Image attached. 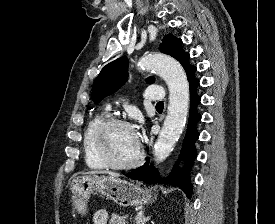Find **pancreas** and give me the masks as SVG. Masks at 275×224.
Masks as SVG:
<instances>
[{"label":"pancreas","mask_w":275,"mask_h":224,"mask_svg":"<svg viewBox=\"0 0 275 224\" xmlns=\"http://www.w3.org/2000/svg\"><path fill=\"white\" fill-rule=\"evenodd\" d=\"M109 224H126V217L112 213Z\"/></svg>","instance_id":"obj_1"}]
</instances>
